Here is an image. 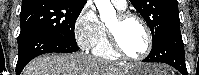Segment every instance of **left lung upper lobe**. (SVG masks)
<instances>
[{"label": "left lung upper lobe", "mask_w": 199, "mask_h": 75, "mask_svg": "<svg viewBox=\"0 0 199 75\" xmlns=\"http://www.w3.org/2000/svg\"><path fill=\"white\" fill-rule=\"evenodd\" d=\"M136 10L147 22L153 46L170 31L180 28L177 0H130Z\"/></svg>", "instance_id": "left-lung-upper-lobe-1"}]
</instances>
